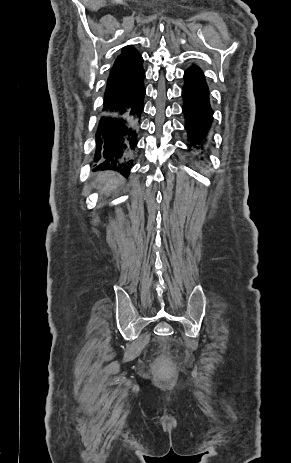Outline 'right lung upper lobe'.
Segmentation results:
<instances>
[{"label":"right lung upper lobe","mask_w":291,"mask_h":463,"mask_svg":"<svg viewBox=\"0 0 291 463\" xmlns=\"http://www.w3.org/2000/svg\"><path fill=\"white\" fill-rule=\"evenodd\" d=\"M143 58L132 46H126L117 57L110 71L104 94L102 113L120 102L138 82L144 72Z\"/></svg>","instance_id":"right-lung-upper-lobe-1"}]
</instances>
